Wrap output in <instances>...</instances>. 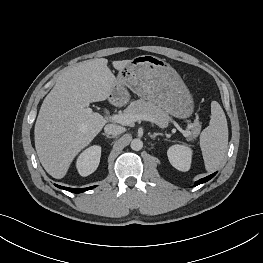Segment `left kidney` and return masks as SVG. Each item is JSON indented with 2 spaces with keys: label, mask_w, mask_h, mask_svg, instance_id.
Segmentation results:
<instances>
[{
  "label": "left kidney",
  "mask_w": 263,
  "mask_h": 263,
  "mask_svg": "<svg viewBox=\"0 0 263 263\" xmlns=\"http://www.w3.org/2000/svg\"><path fill=\"white\" fill-rule=\"evenodd\" d=\"M192 149L187 145H173L167 151L171 165L179 171L186 172L190 169Z\"/></svg>",
  "instance_id": "5707ae66"
}]
</instances>
